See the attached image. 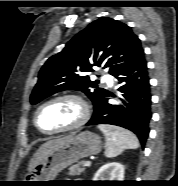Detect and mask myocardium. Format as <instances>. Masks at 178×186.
Returning <instances> with one entry per match:
<instances>
[{"mask_svg":"<svg viewBox=\"0 0 178 186\" xmlns=\"http://www.w3.org/2000/svg\"><path fill=\"white\" fill-rule=\"evenodd\" d=\"M63 99L74 100L80 105V107H81V115H80L79 119L76 122H74L73 124H71L69 126H66L64 128H61V129H58V130H54V131H44L43 129H41V127L39 126V123H38L39 112L41 111V109L44 106H46V105H48V104H50L52 102H55V101H58V100H63ZM90 113H91L90 106L87 103V101L81 95L76 94V93H63V94L54 96V97L46 100L42 104H40L37 107V109H36V111L34 113L33 121H34L35 127L41 133H43L45 135H56V134L65 133V132H69V131H73V130L79 129L80 127H82L84 124L87 123V121L90 118Z\"/></svg>","mask_w":178,"mask_h":186,"instance_id":"myocardium-1","label":"myocardium"}]
</instances>
